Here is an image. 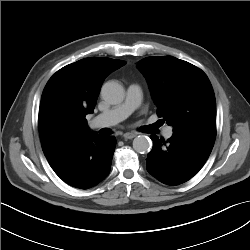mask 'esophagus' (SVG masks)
I'll return each mask as SVG.
<instances>
[{
    "mask_svg": "<svg viewBox=\"0 0 250 250\" xmlns=\"http://www.w3.org/2000/svg\"><path fill=\"white\" fill-rule=\"evenodd\" d=\"M135 136H136V134H135V133H132V132H127V133H125V134L123 135V137H124L125 139H133Z\"/></svg>",
    "mask_w": 250,
    "mask_h": 250,
    "instance_id": "esophagus-1",
    "label": "esophagus"
}]
</instances>
